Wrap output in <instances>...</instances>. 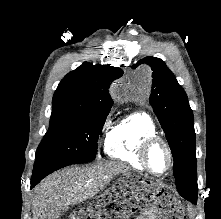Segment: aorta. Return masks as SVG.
I'll use <instances>...</instances> for the list:
<instances>
[{
    "label": "aorta",
    "mask_w": 221,
    "mask_h": 219,
    "mask_svg": "<svg viewBox=\"0 0 221 219\" xmlns=\"http://www.w3.org/2000/svg\"><path fill=\"white\" fill-rule=\"evenodd\" d=\"M134 79L140 87H146L150 83L151 72L147 68L140 69Z\"/></svg>",
    "instance_id": "762f6f07"
}]
</instances>
